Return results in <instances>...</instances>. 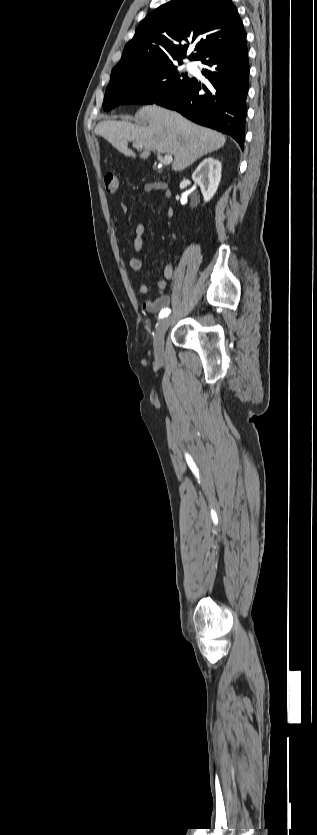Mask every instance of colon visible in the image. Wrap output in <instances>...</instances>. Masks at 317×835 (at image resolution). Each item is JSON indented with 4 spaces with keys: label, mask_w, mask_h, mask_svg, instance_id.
Returning <instances> with one entry per match:
<instances>
[{
    "label": "colon",
    "mask_w": 317,
    "mask_h": 835,
    "mask_svg": "<svg viewBox=\"0 0 317 835\" xmlns=\"http://www.w3.org/2000/svg\"><path fill=\"white\" fill-rule=\"evenodd\" d=\"M104 183L106 190L110 193H114L118 190L119 187V180L118 177L114 173H108L104 177Z\"/></svg>",
    "instance_id": "obj_1"
}]
</instances>
